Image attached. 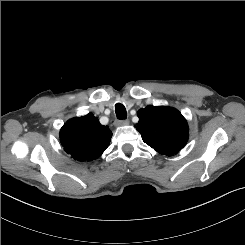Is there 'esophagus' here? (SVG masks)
Here are the masks:
<instances>
[{
	"instance_id": "obj_1",
	"label": "esophagus",
	"mask_w": 245,
	"mask_h": 245,
	"mask_svg": "<svg viewBox=\"0 0 245 245\" xmlns=\"http://www.w3.org/2000/svg\"><path fill=\"white\" fill-rule=\"evenodd\" d=\"M115 124L117 126L127 125V124H129V120L128 119L118 120V121L115 122Z\"/></svg>"
}]
</instances>
